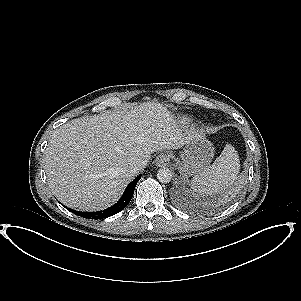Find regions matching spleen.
<instances>
[{"mask_svg": "<svg viewBox=\"0 0 301 301\" xmlns=\"http://www.w3.org/2000/svg\"><path fill=\"white\" fill-rule=\"evenodd\" d=\"M239 171V156L234 147L228 144L212 165L193 178L191 188L203 196L227 191L237 179Z\"/></svg>", "mask_w": 301, "mask_h": 301, "instance_id": "1", "label": "spleen"}]
</instances>
